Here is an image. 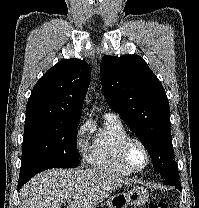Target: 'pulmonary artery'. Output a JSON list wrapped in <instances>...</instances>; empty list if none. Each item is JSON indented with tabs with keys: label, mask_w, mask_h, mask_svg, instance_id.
<instances>
[{
	"label": "pulmonary artery",
	"mask_w": 199,
	"mask_h": 208,
	"mask_svg": "<svg viewBox=\"0 0 199 208\" xmlns=\"http://www.w3.org/2000/svg\"><path fill=\"white\" fill-rule=\"evenodd\" d=\"M105 117H112V118H118V116L115 113L107 111L104 115Z\"/></svg>",
	"instance_id": "obj_1"
}]
</instances>
